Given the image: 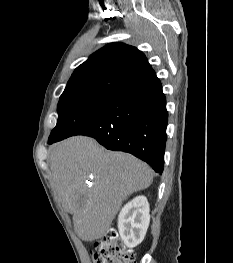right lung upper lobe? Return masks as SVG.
<instances>
[{"label": "right lung upper lobe", "instance_id": "1", "mask_svg": "<svg viewBox=\"0 0 233 263\" xmlns=\"http://www.w3.org/2000/svg\"><path fill=\"white\" fill-rule=\"evenodd\" d=\"M156 74L137 48L111 43L77 67L61 96L83 92L119 94L142 84Z\"/></svg>", "mask_w": 233, "mask_h": 263}]
</instances>
